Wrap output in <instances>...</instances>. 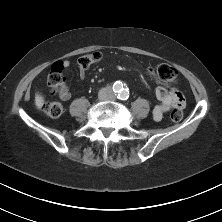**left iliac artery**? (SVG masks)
<instances>
[{
	"label": "left iliac artery",
	"mask_w": 222,
	"mask_h": 222,
	"mask_svg": "<svg viewBox=\"0 0 222 222\" xmlns=\"http://www.w3.org/2000/svg\"><path fill=\"white\" fill-rule=\"evenodd\" d=\"M129 92L127 91V90H124V91H122L120 94H119V98L121 99V100H127L128 99V97H129Z\"/></svg>",
	"instance_id": "left-iliac-artery-1"
}]
</instances>
